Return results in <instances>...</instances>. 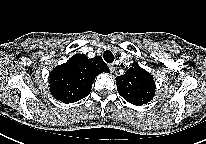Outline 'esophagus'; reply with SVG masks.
<instances>
[{"mask_svg": "<svg viewBox=\"0 0 206 144\" xmlns=\"http://www.w3.org/2000/svg\"><path fill=\"white\" fill-rule=\"evenodd\" d=\"M109 70H110L111 73L115 71L114 64H109Z\"/></svg>", "mask_w": 206, "mask_h": 144, "instance_id": "1", "label": "esophagus"}]
</instances>
